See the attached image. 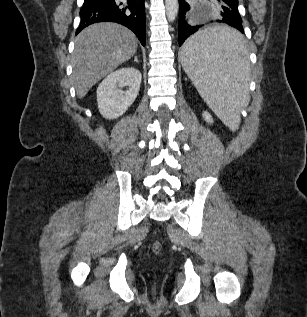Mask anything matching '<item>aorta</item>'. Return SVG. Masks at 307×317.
<instances>
[{"instance_id": "762f6f07", "label": "aorta", "mask_w": 307, "mask_h": 317, "mask_svg": "<svg viewBox=\"0 0 307 317\" xmlns=\"http://www.w3.org/2000/svg\"><path fill=\"white\" fill-rule=\"evenodd\" d=\"M166 16L169 22H173L178 14V0H165Z\"/></svg>"}]
</instances>
